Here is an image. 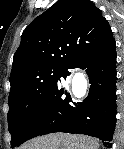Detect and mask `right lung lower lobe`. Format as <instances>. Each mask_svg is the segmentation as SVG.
<instances>
[{"label": "right lung lower lobe", "mask_w": 124, "mask_h": 149, "mask_svg": "<svg viewBox=\"0 0 124 149\" xmlns=\"http://www.w3.org/2000/svg\"><path fill=\"white\" fill-rule=\"evenodd\" d=\"M76 67L85 69L89 77L88 96L82 102H76L67 88L57 81L28 123L17 146L39 135L64 132L97 137L104 146L111 147L116 121L114 38L67 64L60 77L66 79L70 70Z\"/></svg>", "instance_id": "98d812e1"}]
</instances>
